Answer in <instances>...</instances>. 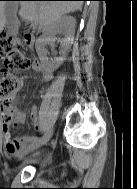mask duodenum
I'll return each instance as SVG.
<instances>
[{
	"label": "duodenum",
	"mask_w": 137,
	"mask_h": 189,
	"mask_svg": "<svg viewBox=\"0 0 137 189\" xmlns=\"http://www.w3.org/2000/svg\"><path fill=\"white\" fill-rule=\"evenodd\" d=\"M24 40L27 47L33 46L34 38L32 37V35L26 34Z\"/></svg>",
	"instance_id": "obj_1"
}]
</instances>
